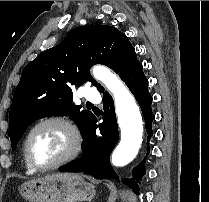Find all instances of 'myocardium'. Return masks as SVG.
<instances>
[{
  "mask_svg": "<svg viewBox=\"0 0 209 202\" xmlns=\"http://www.w3.org/2000/svg\"><path fill=\"white\" fill-rule=\"evenodd\" d=\"M47 124H56L66 132L69 139V147L64 152V154L60 156L56 161L51 164L41 166L33 161L30 154L29 143L34 132L37 131L40 127ZM82 144L83 140L81 133L78 127L69 118L61 115H51L38 120L28 130L23 141V154L26 162L34 171L45 172L59 168L60 166L74 160L80 153L82 149Z\"/></svg>",
  "mask_w": 209,
  "mask_h": 202,
  "instance_id": "f54148a6",
  "label": "myocardium"
}]
</instances>
